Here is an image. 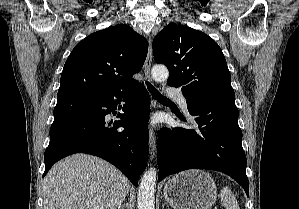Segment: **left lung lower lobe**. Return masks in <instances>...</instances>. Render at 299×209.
Returning a JSON list of instances; mask_svg holds the SVG:
<instances>
[{
  "mask_svg": "<svg viewBox=\"0 0 299 209\" xmlns=\"http://www.w3.org/2000/svg\"><path fill=\"white\" fill-rule=\"evenodd\" d=\"M186 101L195 129L166 127L159 132L158 179L186 169L217 170L236 180L248 196L247 160L234 99L199 97Z\"/></svg>",
  "mask_w": 299,
  "mask_h": 209,
  "instance_id": "0a47b994",
  "label": "left lung lower lobe"
}]
</instances>
